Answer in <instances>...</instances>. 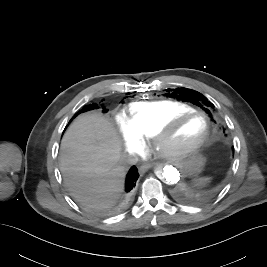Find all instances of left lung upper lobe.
<instances>
[{"instance_id": "obj_1", "label": "left lung upper lobe", "mask_w": 267, "mask_h": 267, "mask_svg": "<svg viewBox=\"0 0 267 267\" xmlns=\"http://www.w3.org/2000/svg\"><path fill=\"white\" fill-rule=\"evenodd\" d=\"M169 93L166 94L167 96L169 95L172 98H176L177 100H182V101H187L191 102L195 105H198L202 107L206 113L211 114L212 109L214 108V105L206 102L207 98L203 96L201 93L188 89V88H177V89H169L167 90ZM206 105L207 107H204Z\"/></svg>"}]
</instances>
